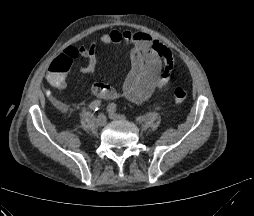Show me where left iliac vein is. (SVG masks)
<instances>
[{
	"label": "left iliac vein",
	"mask_w": 254,
	"mask_h": 216,
	"mask_svg": "<svg viewBox=\"0 0 254 216\" xmlns=\"http://www.w3.org/2000/svg\"><path fill=\"white\" fill-rule=\"evenodd\" d=\"M109 117L113 120H123L124 117L116 114L115 112H109Z\"/></svg>",
	"instance_id": "1"
}]
</instances>
